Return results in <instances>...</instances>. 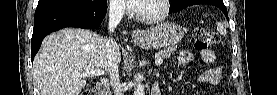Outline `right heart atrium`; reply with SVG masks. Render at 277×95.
Here are the masks:
<instances>
[{"mask_svg":"<svg viewBox=\"0 0 277 95\" xmlns=\"http://www.w3.org/2000/svg\"><path fill=\"white\" fill-rule=\"evenodd\" d=\"M111 15L120 18L125 14V8L118 1H110Z\"/></svg>","mask_w":277,"mask_h":95,"instance_id":"1","label":"right heart atrium"}]
</instances>
